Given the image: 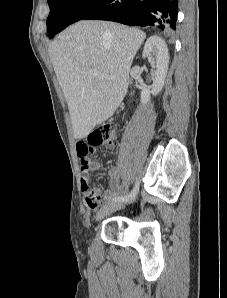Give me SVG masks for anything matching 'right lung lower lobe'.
Returning <instances> with one entry per match:
<instances>
[{"instance_id": "obj_1", "label": "right lung lower lobe", "mask_w": 227, "mask_h": 298, "mask_svg": "<svg viewBox=\"0 0 227 298\" xmlns=\"http://www.w3.org/2000/svg\"><path fill=\"white\" fill-rule=\"evenodd\" d=\"M177 0H104L83 19L109 20L126 25L176 28Z\"/></svg>"}]
</instances>
